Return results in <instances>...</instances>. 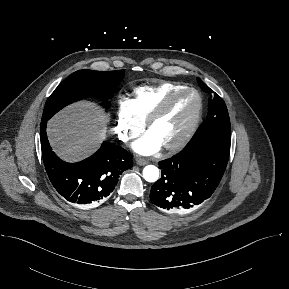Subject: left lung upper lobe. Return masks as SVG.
<instances>
[{
	"mask_svg": "<svg viewBox=\"0 0 289 289\" xmlns=\"http://www.w3.org/2000/svg\"><path fill=\"white\" fill-rule=\"evenodd\" d=\"M197 80L202 90L211 96L208 102L207 117L187 146L202 140H231L230 119L223 99L199 78Z\"/></svg>",
	"mask_w": 289,
	"mask_h": 289,
	"instance_id": "1",
	"label": "left lung upper lobe"
}]
</instances>
